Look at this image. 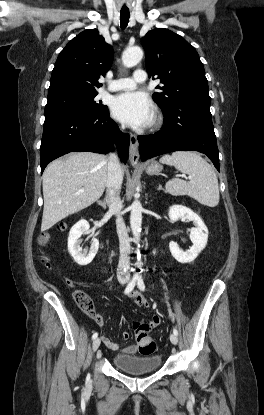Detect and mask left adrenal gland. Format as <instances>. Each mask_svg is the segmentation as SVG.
<instances>
[{
  "label": "left adrenal gland",
  "mask_w": 264,
  "mask_h": 415,
  "mask_svg": "<svg viewBox=\"0 0 264 415\" xmlns=\"http://www.w3.org/2000/svg\"><path fill=\"white\" fill-rule=\"evenodd\" d=\"M161 189H162V186L159 184L158 190H161Z\"/></svg>",
  "instance_id": "left-adrenal-gland-1"
}]
</instances>
